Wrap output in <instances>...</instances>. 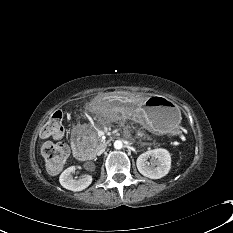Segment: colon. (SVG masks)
I'll return each instance as SVG.
<instances>
[{
    "mask_svg": "<svg viewBox=\"0 0 233 233\" xmlns=\"http://www.w3.org/2000/svg\"><path fill=\"white\" fill-rule=\"evenodd\" d=\"M63 117L62 111L53 112L43 126L42 134L46 137L60 134L63 130ZM41 152L47 168L53 172L61 170L68 157V147L63 142L45 141L42 143Z\"/></svg>",
    "mask_w": 233,
    "mask_h": 233,
    "instance_id": "obj_1",
    "label": "colon"
}]
</instances>
